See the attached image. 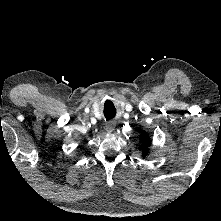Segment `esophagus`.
Returning <instances> with one entry per match:
<instances>
[{"mask_svg":"<svg viewBox=\"0 0 221 221\" xmlns=\"http://www.w3.org/2000/svg\"><path fill=\"white\" fill-rule=\"evenodd\" d=\"M106 131L108 133H112L114 130H115V123L110 121L106 124V127H105Z\"/></svg>","mask_w":221,"mask_h":221,"instance_id":"1","label":"esophagus"}]
</instances>
